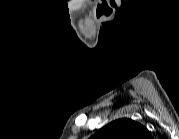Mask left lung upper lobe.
Returning a JSON list of instances; mask_svg holds the SVG:
<instances>
[{"mask_svg": "<svg viewBox=\"0 0 179 139\" xmlns=\"http://www.w3.org/2000/svg\"><path fill=\"white\" fill-rule=\"evenodd\" d=\"M150 135L148 129L132 119H117L103 128L94 136L98 139H145Z\"/></svg>", "mask_w": 179, "mask_h": 139, "instance_id": "1", "label": "left lung upper lobe"}]
</instances>
